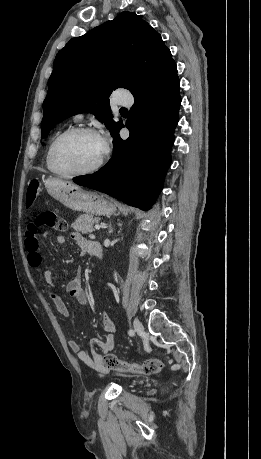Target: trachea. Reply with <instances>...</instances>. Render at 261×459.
Listing matches in <instances>:
<instances>
[{
  "mask_svg": "<svg viewBox=\"0 0 261 459\" xmlns=\"http://www.w3.org/2000/svg\"><path fill=\"white\" fill-rule=\"evenodd\" d=\"M120 110H121V111H127V109H126V108H121Z\"/></svg>",
  "mask_w": 261,
  "mask_h": 459,
  "instance_id": "1",
  "label": "trachea"
}]
</instances>
